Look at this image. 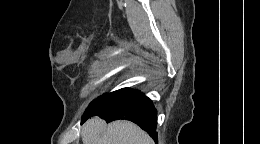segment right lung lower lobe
I'll return each instance as SVG.
<instances>
[{
	"instance_id": "right-lung-lower-lobe-1",
	"label": "right lung lower lobe",
	"mask_w": 260,
	"mask_h": 144,
	"mask_svg": "<svg viewBox=\"0 0 260 144\" xmlns=\"http://www.w3.org/2000/svg\"><path fill=\"white\" fill-rule=\"evenodd\" d=\"M92 116H99L106 122L118 119L130 120L157 142V111L152 101L142 92L128 88L122 89L90 115L83 117L82 123Z\"/></svg>"
}]
</instances>
